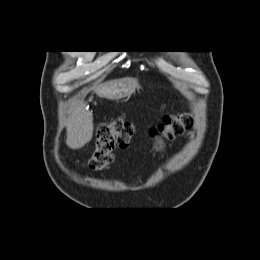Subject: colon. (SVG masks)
Here are the masks:
<instances>
[{
	"instance_id": "5ec220e1",
	"label": "colon",
	"mask_w": 260,
	"mask_h": 260,
	"mask_svg": "<svg viewBox=\"0 0 260 260\" xmlns=\"http://www.w3.org/2000/svg\"><path fill=\"white\" fill-rule=\"evenodd\" d=\"M191 125L192 116L189 113L168 114L159 124L151 127L149 134L156 149L162 150L167 141L183 135ZM133 135V125L122 118L100 123L96 133L95 150L89 160L90 170L97 172L107 168L113 160L114 150L127 147Z\"/></svg>"
}]
</instances>
